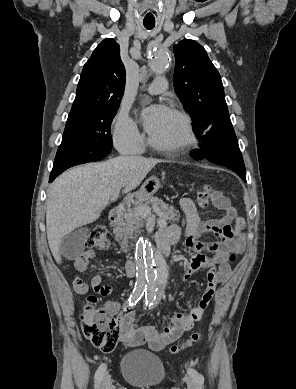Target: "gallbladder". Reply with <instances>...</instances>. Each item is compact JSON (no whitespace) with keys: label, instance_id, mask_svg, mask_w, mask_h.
Here are the masks:
<instances>
[{"label":"gallbladder","instance_id":"obj_1","mask_svg":"<svg viewBox=\"0 0 296 389\" xmlns=\"http://www.w3.org/2000/svg\"><path fill=\"white\" fill-rule=\"evenodd\" d=\"M87 231L88 229L81 228L67 234L60 243V253L69 258L78 257L84 250L82 242Z\"/></svg>","mask_w":296,"mask_h":389}]
</instances>
